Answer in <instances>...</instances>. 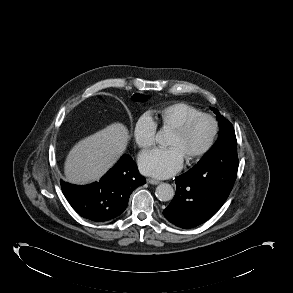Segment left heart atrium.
Segmentation results:
<instances>
[{
  "label": "left heart atrium",
  "instance_id": "39dd6f15",
  "mask_svg": "<svg viewBox=\"0 0 293 293\" xmlns=\"http://www.w3.org/2000/svg\"><path fill=\"white\" fill-rule=\"evenodd\" d=\"M184 156L176 147L156 148L143 153L139 158L141 171L149 176L164 179L181 170Z\"/></svg>",
  "mask_w": 293,
  "mask_h": 293
}]
</instances>
